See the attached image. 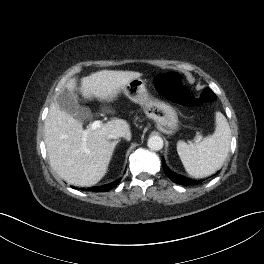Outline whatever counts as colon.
<instances>
[{
  "mask_svg": "<svg viewBox=\"0 0 264 264\" xmlns=\"http://www.w3.org/2000/svg\"><path fill=\"white\" fill-rule=\"evenodd\" d=\"M158 91L167 99L177 104L192 107L212 103L216 96L210 89H204L193 95L182 83V77L176 72L159 74L155 79Z\"/></svg>",
  "mask_w": 264,
  "mask_h": 264,
  "instance_id": "5ec220e1",
  "label": "colon"
}]
</instances>
